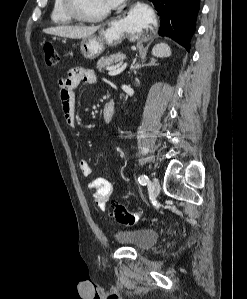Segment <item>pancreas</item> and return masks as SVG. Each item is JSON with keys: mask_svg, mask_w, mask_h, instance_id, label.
I'll return each instance as SVG.
<instances>
[{"mask_svg": "<svg viewBox=\"0 0 247 299\" xmlns=\"http://www.w3.org/2000/svg\"><path fill=\"white\" fill-rule=\"evenodd\" d=\"M125 54L117 53L107 57H102L97 62V68L101 72L104 69L109 68L112 64L122 61L125 59Z\"/></svg>", "mask_w": 247, "mask_h": 299, "instance_id": "obj_1", "label": "pancreas"}]
</instances>
